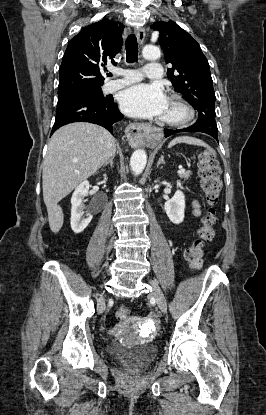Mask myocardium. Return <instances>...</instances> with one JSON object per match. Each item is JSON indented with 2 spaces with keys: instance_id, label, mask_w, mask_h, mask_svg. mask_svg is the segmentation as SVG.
<instances>
[{
  "instance_id": "1",
  "label": "myocardium",
  "mask_w": 266,
  "mask_h": 415,
  "mask_svg": "<svg viewBox=\"0 0 266 415\" xmlns=\"http://www.w3.org/2000/svg\"><path fill=\"white\" fill-rule=\"evenodd\" d=\"M173 106L179 108L182 112L178 118H161L160 124L167 127H181L189 123L195 116L193 107L180 95L173 94L170 102Z\"/></svg>"
}]
</instances>
